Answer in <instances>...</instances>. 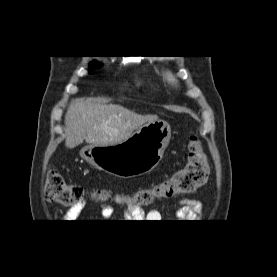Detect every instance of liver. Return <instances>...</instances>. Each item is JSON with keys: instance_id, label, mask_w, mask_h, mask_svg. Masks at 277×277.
I'll use <instances>...</instances> for the list:
<instances>
[{"instance_id": "6515ba94", "label": "liver", "mask_w": 277, "mask_h": 277, "mask_svg": "<svg viewBox=\"0 0 277 277\" xmlns=\"http://www.w3.org/2000/svg\"><path fill=\"white\" fill-rule=\"evenodd\" d=\"M157 120L156 115H139L120 105L76 99L65 115V145L72 149L84 140L91 146L118 144L144 124Z\"/></svg>"}]
</instances>
